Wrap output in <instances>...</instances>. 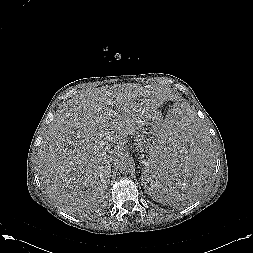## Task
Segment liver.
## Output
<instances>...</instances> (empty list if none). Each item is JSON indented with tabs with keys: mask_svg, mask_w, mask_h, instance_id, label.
Returning <instances> with one entry per match:
<instances>
[{
	"mask_svg": "<svg viewBox=\"0 0 253 253\" xmlns=\"http://www.w3.org/2000/svg\"><path fill=\"white\" fill-rule=\"evenodd\" d=\"M170 98L166 88L127 83L86 89L62 103L37 156L49 199L80 218L104 211L112 163Z\"/></svg>",
	"mask_w": 253,
	"mask_h": 253,
	"instance_id": "6515ba94",
	"label": "liver"
}]
</instances>
